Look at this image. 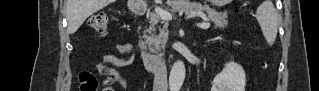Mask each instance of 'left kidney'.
Masks as SVG:
<instances>
[{"instance_id":"left-kidney-1","label":"left kidney","mask_w":319,"mask_h":91,"mask_svg":"<svg viewBox=\"0 0 319 91\" xmlns=\"http://www.w3.org/2000/svg\"><path fill=\"white\" fill-rule=\"evenodd\" d=\"M246 75L243 68L234 62L225 65L215 76L212 91H245Z\"/></svg>"}]
</instances>
